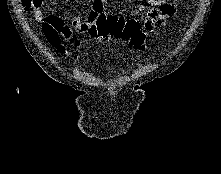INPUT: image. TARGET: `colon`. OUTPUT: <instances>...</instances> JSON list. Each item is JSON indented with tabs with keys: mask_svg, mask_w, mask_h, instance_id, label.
<instances>
[{
	"mask_svg": "<svg viewBox=\"0 0 221 174\" xmlns=\"http://www.w3.org/2000/svg\"><path fill=\"white\" fill-rule=\"evenodd\" d=\"M41 0H21L26 11L38 7ZM90 34L98 39H116L126 42L129 47L142 51L145 49L146 34L137 19L124 20L117 16L102 15L90 28Z\"/></svg>",
	"mask_w": 221,
	"mask_h": 174,
	"instance_id": "colon-1",
	"label": "colon"
}]
</instances>
